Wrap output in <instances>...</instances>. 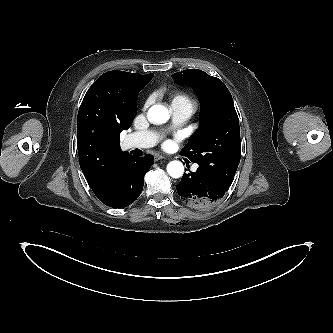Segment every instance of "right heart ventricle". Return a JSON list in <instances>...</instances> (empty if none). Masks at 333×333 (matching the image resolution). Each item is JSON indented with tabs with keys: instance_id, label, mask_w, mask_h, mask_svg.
<instances>
[{
	"instance_id": "e07e8e85",
	"label": "right heart ventricle",
	"mask_w": 333,
	"mask_h": 333,
	"mask_svg": "<svg viewBox=\"0 0 333 333\" xmlns=\"http://www.w3.org/2000/svg\"><path fill=\"white\" fill-rule=\"evenodd\" d=\"M172 103H188L193 105L191 98L184 93H176L172 96Z\"/></svg>"
}]
</instances>
